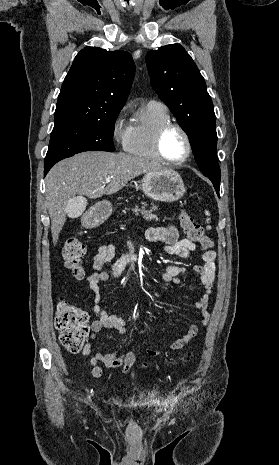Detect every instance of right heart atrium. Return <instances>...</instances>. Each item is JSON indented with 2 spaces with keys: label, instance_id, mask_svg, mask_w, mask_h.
<instances>
[{
  "label": "right heart atrium",
  "instance_id": "right-heart-atrium-1",
  "mask_svg": "<svg viewBox=\"0 0 279 465\" xmlns=\"http://www.w3.org/2000/svg\"><path fill=\"white\" fill-rule=\"evenodd\" d=\"M125 112L126 108H121L114 117L111 134L113 140L120 144L121 146H125L128 137H129V130L130 127L125 124Z\"/></svg>",
  "mask_w": 279,
  "mask_h": 465
}]
</instances>
